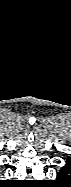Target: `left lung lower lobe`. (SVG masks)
Returning <instances> with one entry per match:
<instances>
[{
  "instance_id": "0a47b994",
  "label": "left lung lower lobe",
  "mask_w": 71,
  "mask_h": 187,
  "mask_svg": "<svg viewBox=\"0 0 71 187\" xmlns=\"http://www.w3.org/2000/svg\"><path fill=\"white\" fill-rule=\"evenodd\" d=\"M71 178V163L69 160L66 161V165L63 166L59 173L57 174V179L59 181L69 182Z\"/></svg>"
}]
</instances>
